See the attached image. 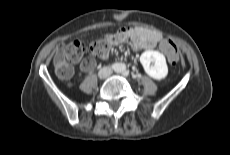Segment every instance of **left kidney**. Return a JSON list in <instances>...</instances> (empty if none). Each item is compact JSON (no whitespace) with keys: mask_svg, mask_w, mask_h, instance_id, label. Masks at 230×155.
<instances>
[{"mask_svg":"<svg viewBox=\"0 0 230 155\" xmlns=\"http://www.w3.org/2000/svg\"><path fill=\"white\" fill-rule=\"evenodd\" d=\"M140 62L147 75L155 80H162L168 74L165 56L158 51L148 50L143 52L140 56Z\"/></svg>","mask_w":230,"mask_h":155,"instance_id":"5707ae66","label":"left kidney"}]
</instances>
